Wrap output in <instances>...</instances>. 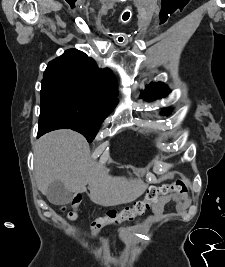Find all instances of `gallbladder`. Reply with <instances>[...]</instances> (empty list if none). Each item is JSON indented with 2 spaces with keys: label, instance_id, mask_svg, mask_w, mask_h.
<instances>
[{
  "label": "gallbladder",
  "instance_id": "bac80fb5",
  "mask_svg": "<svg viewBox=\"0 0 225 267\" xmlns=\"http://www.w3.org/2000/svg\"><path fill=\"white\" fill-rule=\"evenodd\" d=\"M46 195L48 200L55 205H64L68 204L71 201V193L59 180L53 181L48 186Z\"/></svg>",
  "mask_w": 225,
  "mask_h": 267
}]
</instances>
